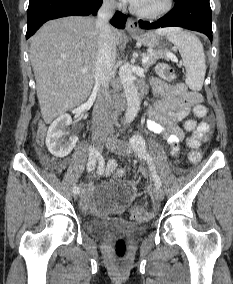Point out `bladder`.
<instances>
[{
  "instance_id": "bladder-1",
  "label": "bladder",
  "mask_w": 233,
  "mask_h": 284,
  "mask_svg": "<svg viewBox=\"0 0 233 284\" xmlns=\"http://www.w3.org/2000/svg\"><path fill=\"white\" fill-rule=\"evenodd\" d=\"M134 197L133 186L124 180H112L102 183L85 195L84 200H92L103 206H119L129 202ZM85 232L93 237H103L115 230H127L133 233H143L145 224H134L122 219H86L83 223Z\"/></svg>"
}]
</instances>
